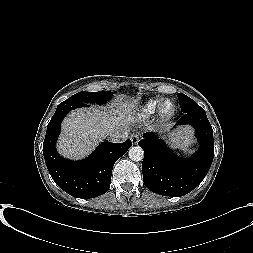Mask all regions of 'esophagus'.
<instances>
[{
  "mask_svg": "<svg viewBox=\"0 0 253 253\" xmlns=\"http://www.w3.org/2000/svg\"><path fill=\"white\" fill-rule=\"evenodd\" d=\"M132 144L133 145H137V143L139 142V134H132L130 137Z\"/></svg>",
  "mask_w": 253,
  "mask_h": 253,
  "instance_id": "34e87169",
  "label": "esophagus"
}]
</instances>
